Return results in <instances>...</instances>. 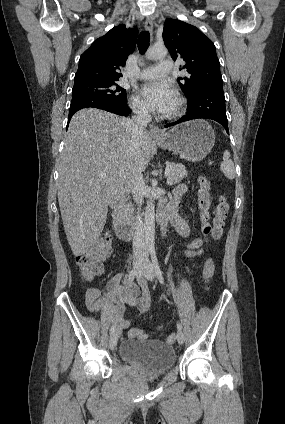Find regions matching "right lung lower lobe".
Here are the masks:
<instances>
[{
	"mask_svg": "<svg viewBox=\"0 0 285 424\" xmlns=\"http://www.w3.org/2000/svg\"><path fill=\"white\" fill-rule=\"evenodd\" d=\"M88 107L106 110L108 112H112L121 116H126L131 113V110L129 109L126 103H118L109 99L94 96H77L73 97L71 100L68 124L74 113H76L80 109Z\"/></svg>",
	"mask_w": 285,
	"mask_h": 424,
	"instance_id": "obj_1",
	"label": "right lung lower lobe"
}]
</instances>
